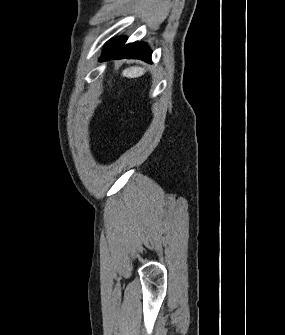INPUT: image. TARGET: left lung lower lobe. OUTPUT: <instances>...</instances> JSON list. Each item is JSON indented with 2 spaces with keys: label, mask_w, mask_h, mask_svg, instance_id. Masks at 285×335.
<instances>
[{
  "label": "left lung lower lobe",
  "mask_w": 285,
  "mask_h": 335,
  "mask_svg": "<svg viewBox=\"0 0 285 335\" xmlns=\"http://www.w3.org/2000/svg\"><path fill=\"white\" fill-rule=\"evenodd\" d=\"M126 38H118L108 43L100 61L107 59L137 58L151 62V50L144 43H132L123 45Z\"/></svg>",
  "instance_id": "1"
}]
</instances>
